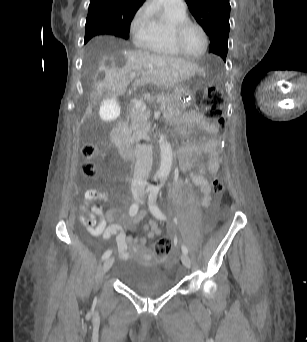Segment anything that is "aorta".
Here are the masks:
<instances>
[{
  "label": "aorta",
  "instance_id": "aorta-1",
  "mask_svg": "<svg viewBox=\"0 0 307 342\" xmlns=\"http://www.w3.org/2000/svg\"><path fill=\"white\" fill-rule=\"evenodd\" d=\"M160 140H158L159 148H160V166L159 170H157L156 176L158 178H165V176H169L173 164V152L172 146L170 142L165 140V136H159Z\"/></svg>",
  "mask_w": 307,
  "mask_h": 342
}]
</instances>
